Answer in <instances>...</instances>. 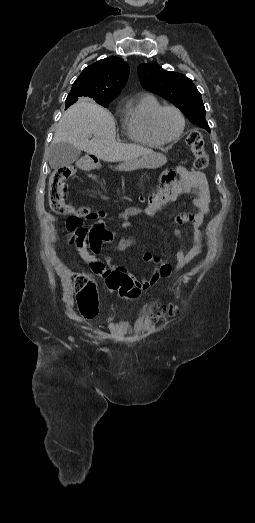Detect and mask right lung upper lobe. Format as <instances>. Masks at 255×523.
Returning <instances> with one entry per match:
<instances>
[{"instance_id":"obj_1","label":"right lung upper lobe","mask_w":255,"mask_h":523,"mask_svg":"<svg viewBox=\"0 0 255 523\" xmlns=\"http://www.w3.org/2000/svg\"><path fill=\"white\" fill-rule=\"evenodd\" d=\"M129 66L121 58L108 57L86 67L73 83L66 108L78 99L104 102L114 100L125 87Z\"/></svg>"}]
</instances>
